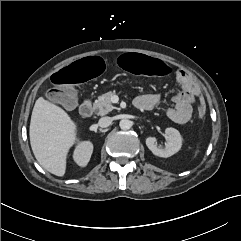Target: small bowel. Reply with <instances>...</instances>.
I'll list each match as a JSON object with an SVG mask.
<instances>
[{
    "instance_id": "1",
    "label": "small bowel",
    "mask_w": 241,
    "mask_h": 241,
    "mask_svg": "<svg viewBox=\"0 0 241 241\" xmlns=\"http://www.w3.org/2000/svg\"><path fill=\"white\" fill-rule=\"evenodd\" d=\"M158 60V59H157ZM176 78L182 91L173 97L174 107L167 110V115L178 124H186L192 117V104L199 95V86L196 79L186 70L176 71ZM162 101L159 94H144L136 98L134 104H139L143 110H151Z\"/></svg>"
}]
</instances>
